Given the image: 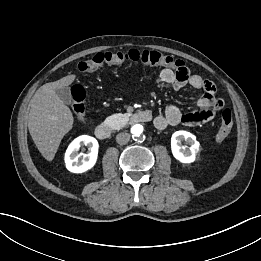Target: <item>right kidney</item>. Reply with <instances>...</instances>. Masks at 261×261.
<instances>
[{
  "label": "right kidney",
  "mask_w": 261,
  "mask_h": 261,
  "mask_svg": "<svg viewBox=\"0 0 261 261\" xmlns=\"http://www.w3.org/2000/svg\"><path fill=\"white\" fill-rule=\"evenodd\" d=\"M82 145L88 146L89 153L78 154ZM98 141L88 135H82L74 139L68 146L65 153L66 168L73 173H83L91 169L98 157Z\"/></svg>",
  "instance_id": "right-kidney-1"
}]
</instances>
